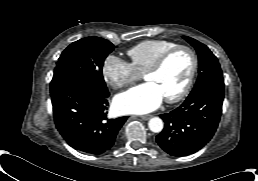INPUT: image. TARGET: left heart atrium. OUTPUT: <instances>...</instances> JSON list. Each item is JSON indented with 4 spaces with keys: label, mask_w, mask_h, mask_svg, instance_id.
<instances>
[{
    "label": "left heart atrium",
    "mask_w": 258,
    "mask_h": 181,
    "mask_svg": "<svg viewBox=\"0 0 258 181\" xmlns=\"http://www.w3.org/2000/svg\"><path fill=\"white\" fill-rule=\"evenodd\" d=\"M163 99L158 86L147 82L118 94L114 100V107L122 114H145L158 108Z\"/></svg>",
    "instance_id": "39dd6f15"
}]
</instances>
